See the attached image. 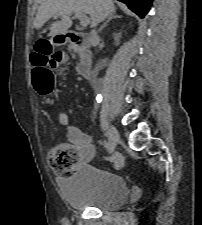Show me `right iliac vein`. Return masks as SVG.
<instances>
[{
    "instance_id": "63e3f726",
    "label": "right iliac vein",
    "mask_w": 202,
    "mask_h": 225,
    "mask_svg": "<svg viewBox=\"0 0 202 225\" xmlns=\"http://www.w3.org/2000/svg\"><path fill=\"white\" fill-rule=\"evenodd\" d=\"M106 134H107V137L109 139V142H110L111 146L115 148V145L120 140V135H119L118 131L116 130L115 127L108 126Z\"/></svg>"
}]
</instances>
